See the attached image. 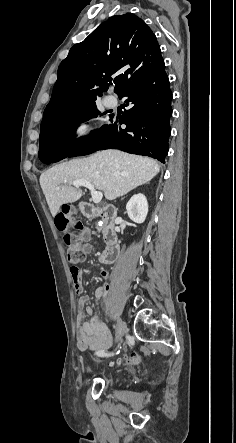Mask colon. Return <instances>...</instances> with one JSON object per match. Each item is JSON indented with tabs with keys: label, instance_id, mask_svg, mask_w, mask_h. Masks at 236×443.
I'll return each instance as SVG.
<instances>
[{
	"label": "colon",
	"instance_id": "obj_1",
	"mask_svg": "<svg viewBox=\"0 0 236 443\" xmlns=\"http://www.w3.org/2000/svg\"><path fill=\"white\" fill-rule=\"evenodd\" d=\"M56 223L67 231L64 235V242L66 245V257L69 263L75 265L85 258V252L82 248L79 238V232L83 230V225L79 221H70L69 211H61L56 216ZM73 268H77L72 266ZM140 358L137 355H132L119 363L135 364L139 362Z\"/></svg>",
	"mask_w": 236,
	"mask_h": 443
}]
</instances>
